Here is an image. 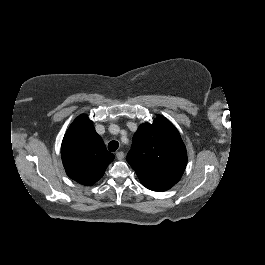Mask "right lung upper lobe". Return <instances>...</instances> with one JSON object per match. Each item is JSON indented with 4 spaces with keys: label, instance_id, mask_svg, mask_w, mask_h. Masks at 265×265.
I'll return each mask as SVG.
<instances>
[{
    "label": "right lung upper lobe",
    "instance_id": "cb5924a9",
    "mask_svg": "<svg viewBox=\"0 0 265 265\" xmlns=\"http://www.w3.org/2000/svg\"><path fill=\"white\" fill-rule=\"evenodd\" d=\"M61 157L67 175L86 186L97 182L114 159L86 115L78 116L67 130Z\"/></svg>",
    "mask_w": 265,
    "mask_h": 265
}]
</instances>
